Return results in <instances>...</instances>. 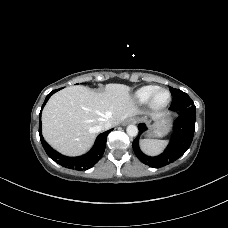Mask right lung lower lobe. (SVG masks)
<instances>
[{
	"mask_svg": "<svg viewBox=\"0 0 228 228\" xmlns=\"http://www.w3.org/2000/svg\"><path fill=\"white\" fill-rule=\"evenodd\" d=\"M59 90V89H58ZM58 90H53L50 92L42 106V109L50 96L55 93ZM112 130V129H111ZM111 130H108L104 133H101L96 138L95 144L93 148L85 155L79 156V157H67L64 155H61L57 151H55L53 148L50 147V145L44 140L42 133H41V114H40V124H39V134H40V140L42 143V146L44 150L46 151L47 155L53 159L56 163L60 164L63 167L75 169V170H87L93 167L102 157L105 147H106V141L107 136Z\"/></svg>",
	"mask_w": 228,
	"mask_h": 228,
	"instance_id": "right-lung-lower-lobe-1",
	"label": "right lung lower lobe"
}]
</instances>
